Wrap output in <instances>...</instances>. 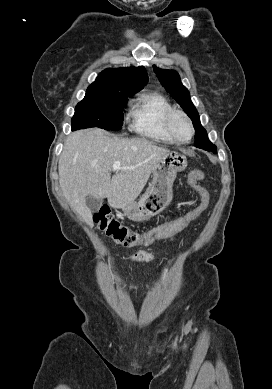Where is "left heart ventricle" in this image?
Here are the masks:
<instances>
[{
    "label": "left heart ventricle",
    "instance_id": "left-heart-ventricle-1",
    "mask_svg": "<svg viewBox=\"0 0 272 389\" xmlns=\"http://www.w3.org/2000/svg\"><path fill=\"white\" fill-rule=\"evenodd\" d=\"M172 127L174 130V133L180 139H188L190 137L191 131H190L189 125L183 117L176 116L173 119Z\"/></svg>",
    "mask_w": 272,
    "mask_h": 389
}]
</instances>
